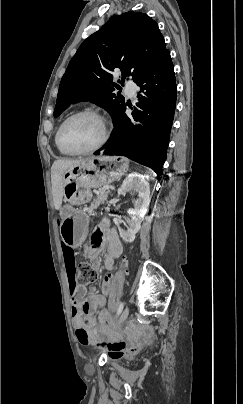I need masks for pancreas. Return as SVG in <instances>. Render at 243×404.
I'll return each mask as SVG.
<instances>
[{
	"label": "pancreas",
	"mask_w": 243,
	"mask_h": 404,
	"mask_svg": "<svg viewBox=\"0 0 243 404\" xmlns=\"http://www.w3.org/2000/svg\"><path fill=\"white\" fill-rule=\"evenodd\" d=\"M95 194H97L96 200H94V202H92L91 206H89V208H87V210H86V212H88L89 216H93V214H94L93 210H96V208H98V206H100V204H104V202L107 198L108 192H106V190H103V188H101V186H100L98 192Z\"/></svg>",
	"instance_id": "obj_1"
}]
</instances>
